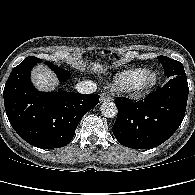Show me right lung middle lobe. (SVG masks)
<instances>
[{
	"label": "right lung middle lobe",
	"instance_id": "1",
	"mask_svg": "<svg viewBox=\"0 0 195 195\" xmlns=\"http://www.w3.org/2000/svg\"><path fill=\"white\" fill-rule=\"evenodd\" d=\"M36 61L40 62V59H36ZM46 64L51 68L52 71L55 72L61 82H65L71 76V73L68 70L55 66L51 62H46Z\"/></svg>",
	"mask_w": 195,
	"mask_h": 195
}]
</instances>
